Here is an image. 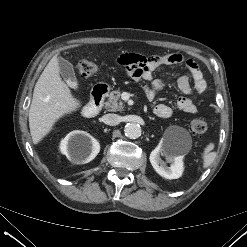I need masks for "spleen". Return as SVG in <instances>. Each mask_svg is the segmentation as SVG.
Here are the masks:
<instances>
[{"label": "spleen", "instance_id": "1", "mask_svg": "<svg viewBox=\"0 0 247 247\" xmlns=\"http://www.w3.org/2000/svg\"><path fill=\"white\" fill-rule=\"evenodd\" d=\"M213 149H214V144L209 143L204 150V153H203V167L204 168L209 167L216 157V153L211 152Z\"/></svg>", "mask_w": 247, "mask_h": 247}]
</instances>
